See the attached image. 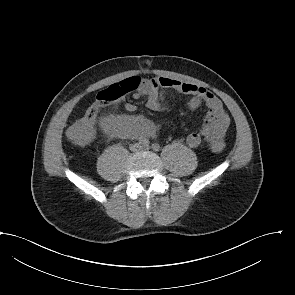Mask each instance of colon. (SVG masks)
Listing matches in <instances>:
<instances>
[{
    "label": "colon",
    "mask_w": 295,
    "mask_h": 295,
    "mask_svg": "<svg viewBox=\"0 0 295 295\" xmlns=\"http://www.w3.org/2000/svg\"><path fill=\"white\" fill-rule=\"evenodd\" d=\"M140 83V78L131 77L100 91L84 115L68 128V139L78 146L89 143L94 136V127L99 110L121 101L127 93L137 90ZM209 145L214 152H220L225 147L224 141L220 139L211 141Z\"/></svg>",
    "instance_id": "5ec220e1"
}]
</instances>
